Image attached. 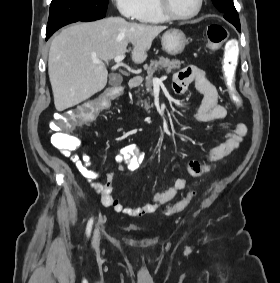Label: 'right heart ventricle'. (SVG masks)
<instances>
[{
	"label": "right heart ventricle",
	"instance_id": "e07e8e85",
	"mask_svg": "<svg viewBox=\"0 0 280 283\" xmlns=\"http://www.w3.org/2000/svg\"><path fill=\"white\" fill-rule=\"evenodd\" d=\"M142 23H163L167 19L160 13L155 0H143V9L138 18Z\"/></svg>",
	"mask_w": 280,
	"mask_h": 283
}]
</instances>
